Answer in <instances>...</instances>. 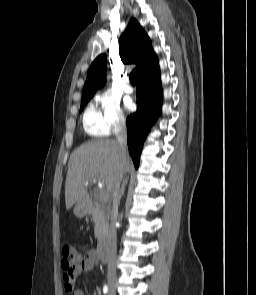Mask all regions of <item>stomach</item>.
<instances>
[{
	"label": "stomach",
	"instance_id": "0dacf381",
	"mask_svg": "<svg viewBox=\"0 0 256 295\" xmlns=\"http://www.w3.org/2000/svg\"><path fill=\"white\" fill-rule=\"evenodd\" d=\"M73 212L78 218H83L87 214V208L83 203H77Z\"/></svg>",
	"mask_w": 256,
	"mask_h": 295
}]
</instances>
